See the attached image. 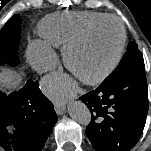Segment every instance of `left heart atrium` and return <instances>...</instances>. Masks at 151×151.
<instances>
[{
    "label": "left heart atrium",
    "instance_id": "obj_1",
    "mask_svg": "<svg viewBox=\"0 0 151 151\" xmlns=\"http://www.w3.org/2000/svg\"><path fill=\"white\" fill-rule=\"evenodd\" d=\"M42 86L48 96L60 103L73 96L77 91L76 81L62 73L47 76L43 80Z\"/></svg>",
    "mask_w": 151,
    "mask_h": 151
}]
</instances>
